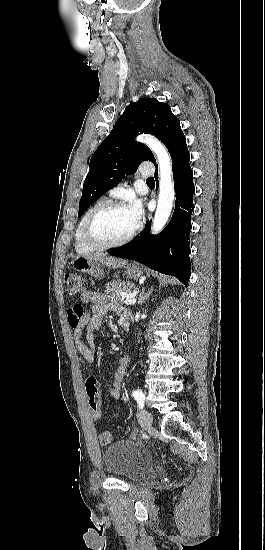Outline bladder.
Listing matches in <instances>:
<instances>
[{
  "mask_svg": "<svg viewBox=\"0 0 265 550\" xmlns=\"http://www.w3.org/2000/svg\"><path fill=\"white\" fill-rule=\"evenodd\" d=\"M105 469L111 475L129 481H139L148 476L153 467L151 453L142 446L120 440L102 453Z\"/></svg>",
  "mask_w": 265,
  "mask_h": 550,
  "instance_id": "1",
  "label": "bladder"
}]
</instances>
